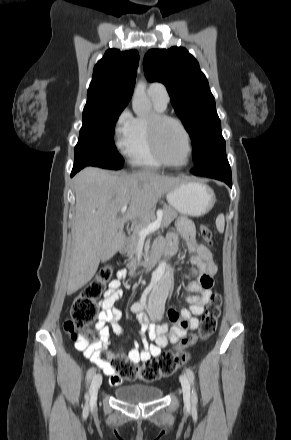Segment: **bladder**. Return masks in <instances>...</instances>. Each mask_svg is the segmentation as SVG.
Wrapping results in <instances>:
<instances>
[{
    "mask_svg": "<svg viewBox=\"0 0 291 440\" xmlns=\"http://www.w3.org/2000/svg\"><path fill=\"white\" fill-rule=\"evenodd\" d=\"M114 395L126 403H148L158 400L163 391L158 386L138 384L118 387Z\"/></svg>",
    "mask_w": 291,
    "mask_h": 440,
    "instance_id": "1",
    "label": "bladder"
}]
</instances>
